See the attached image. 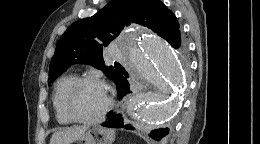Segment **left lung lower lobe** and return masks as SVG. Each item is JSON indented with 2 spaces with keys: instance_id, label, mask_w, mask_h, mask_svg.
Returning <instances> with one entry per match:
<instances>
[{
  "instance_id": "1",
  "label": "left lung lower lobe",
  "mask_w": 260,
  "mask_h": 144,
  "mask_svg": "<svg viewBox=\"0 0 260 144\" xmlns=\"http://www.w3.org/2000/svg\"><path fill=\"white\" fill-rule=\"evenodd\" d=\"M183 39L181 36V32L178 31L171 39L170 42H168L173 48L178 49L180 46L183 44ZM127 74L124 72L118 81L117 85V90H118V96L119 100H121L125 95H127L130 92V85L127 80ZM104 127L108 128H125L129 130H133L134 127L131 126L130 124H124V120L121 114H115V113H110L108 120L102 124ZM169 132L168 128H159L155 129L150 132L149 136L152 137L153 139L159 141L161 140L164 136H166Z\"/></svg>"
}]
</instances>
